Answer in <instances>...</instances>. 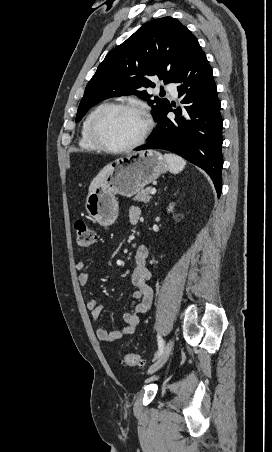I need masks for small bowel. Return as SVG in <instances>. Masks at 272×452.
I'll return each mask as SVG.
<instances>
[{
  "instance_id": "obj_1",
  "label": "small bowel",
  "mask_w": 272,
  "mask_h": 452,
  "mask_svg": "<svg viewBox=\"0 0 272 452\" xmlns=\"http://www.w3.org/2000/svg\"><path fill=\"white\" fill-rule=\"evenodd\" d=\"M140 215L141 211L139 207H129L128 220L132 225L138 224ZM147 259L148 249L142 245L137 247L134 257L135 267L131 276V282L134 286L132 298L140 300V303L124 314L121 326L118 330L108 331L105 328L98 326L95 333L100 341L114 342L124 336L133 334L139 325L140 315L149 310L152 303L153 290L148 284L151 273L147 267ZM85 268L84 262H78L76 264V269L80 272L78 279L81 285H89L92 283V277L85 271ZM87 308L90 312L91 319L93 322L97 323L101 316V305L95 299H91L87 303Z\"/></svg>"
}]
</instances>
